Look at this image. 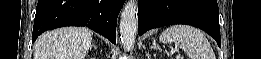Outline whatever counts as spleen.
Segmentation results:
<instances>
[{"instance_id":"1","label":"spleen","mask_w":261,"mask_h":59,"mask_svg":"<svg viewBox=\"0 0 261 59\" xmlns=\"http://www.w3.org/2000/svg\"><path fill=\"white\" fill-rule=\"evenodd\" d=\"M160 42L181 44L190 59H216L213 49L204 34L189 25H174L159 37Z\"/></svg>"}]
</instances>
